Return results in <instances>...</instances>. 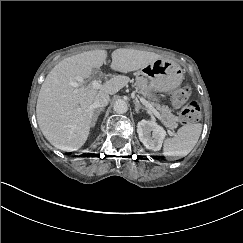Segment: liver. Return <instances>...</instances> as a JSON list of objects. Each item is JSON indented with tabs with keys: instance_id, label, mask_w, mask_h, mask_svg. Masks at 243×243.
I'll return each mask as SVG.
<instances>
[{
	"instance_id": "liver-1",
	"label": "liver",
	"mask_w": 243,
	"mask_h": 243,
	"mask_svg": "<svg viewBox=\"0 0 243 243\" xmlns=\"http://www.w3.org/2000/svg\"><path fill=\"white\" fill-rule=\"evenodd\" d=\"M106 57L105 50L82 52L63 59L46 76L38 94L36 115L43 135L55 148L79 150L90 134L95 97L99 93L114 95L129 83V77L123 75L112 77L100 88L84 80L91 77L95 68L107 63ZM111 57L109 68L121 74L162 58L153 52L126 48L114 50Z\"/></svg>"
}]
</instances>
